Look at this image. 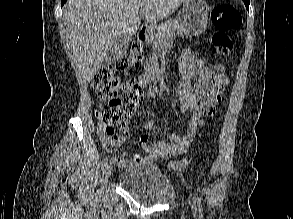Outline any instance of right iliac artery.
<instances>
[{
    "mask_svg": "<svg viewBox=\"0 0 293 219\" xmlns=\"http://www.w3.org/2000/svg\"><path fill=\"white\" fill-rule=\"evenodd\" d=\"M108 164H109V159L105 158L102 162L101 168L105 169L106 167H108Z\"/></svg>",
    "mask_w": 293,
    "mask_h": 219,
    "instance_id": "1",
    "label": "right iliac artery"
}]
</instances>
